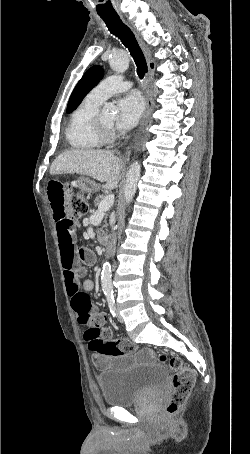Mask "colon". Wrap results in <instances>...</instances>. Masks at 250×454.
I'll return each instance as SVG.
<instances>
[{"instance_id": "1", "label": "colon", "mask_w": 250, "mask_h": 454, "mask_svg": "<svg viewBox=\"0 0 250 454\" xmlns=\"http://www.w3.org/2000/svg\"><path fill=\"white\" fill-rule=\"evenodd\" d=\"M88 211L89 202L85 196L79 192L74 193L71 200V219L78 221ZM103 321L104 318L97 317H89L83 321V324L88 326L84 338L89 349L97 354L113 357L134 354L137 350L136 346L129 340L109 339L111 331L103 325ZM159 360L167 363L173 372V393L166 407L167 416L172 417L186 404L195 384V374L178 357H167L165 354H161Z\"/></svg>"}]
</instances>
